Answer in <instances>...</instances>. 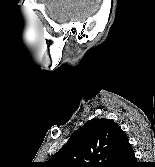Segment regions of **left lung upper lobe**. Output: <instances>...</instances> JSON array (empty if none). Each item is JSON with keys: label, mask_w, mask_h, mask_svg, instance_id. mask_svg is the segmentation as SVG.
I'll return each mask as SVG.
<instances>
[{"label": "left lung upper lobe", "mask_w": 155, "mask_h": 167, "mask_svg": "<svg viewBox=\"0 0 155 167\" xmlns=\"http://www.w3.org/2000/svg\"><path fill=\"white\" fill-rule=\"evenodd\" d=\"M126 139L116 122L92 119L77 129L48 162L53 167H111Z\"/></svg>", "instance_id": "left-lung-upper-lobe-1"}]
</instances>
